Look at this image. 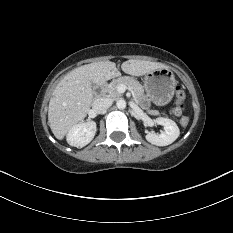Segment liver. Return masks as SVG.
I'll return each mask as SVG.
<instances>
[{
  "label": "liver",
  "instance_id": "liver-1",
  "mask_svg": "<svg viewBox=\"0 0 233 233\" xmlns=\"http://www.w3.org/2000/svg\"><path fill=\"white\" fill-rule=\"evenodd\" d=\"M168 69L159 62L128 60L122 63L124 73L142 76L158 69ZM120 75L116 64L102 61L80 66L69 72L56 86L49 101L48 123L54 136H64L86 117L92 104V83L103 85Z\"/></svg>",
  "mask_w": 233,
  "mask_h": 233
}]
</instances>
